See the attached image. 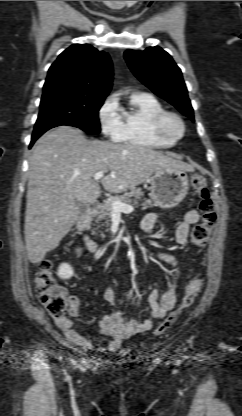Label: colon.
I'll use <instances>...</instances> for the list:
<instances>
[{
    "mask_svg": "<svg viewBox=\"0 0 242 416\" xmlns=\"http://www.w3.org/2000/svg\"><path fill=\"white\" fill-rule=\"evenodd\" d=\"M191 183L199 197V212L201 214L200 221L192 229L191 240L196 248H201L212 232L217 215L205 178L201 175H194L191 178ZM53 268L54 265L50 259H43L39 262L36 273V290L40 302L48 313L54 318H61L66 312L68 300L64 290L55 282ZM200 289L201 282L198 278L190 280L182 297L179 310L160 322L154 334H160L172 327L177 322L179 313L193 304Z\"/></svg>",
    "mask_w": 242,
    "mask_h": 416,
    "instance_id": "obj_1",
    "label": "colon"
}]
</instances>
